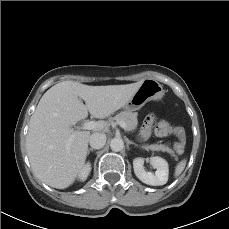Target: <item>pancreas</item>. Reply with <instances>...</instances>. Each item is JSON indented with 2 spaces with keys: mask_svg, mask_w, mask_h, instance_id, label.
<instances>
[{
  "mask_svg": "<svg viewBox=\"0 0 229 229\" xmlns=\"http://www.w3.org/2000/svg\"><path fill=\"white\" fill-rule=\"evenodd\" d=\"M111 120H114L115 122H124L126 123V131H133L136 129L138 121H137V113H133L130 111H123L117 114L115 117L111 118ZM143 148L150 149L153 151H162L167 152L175 157L174 151L169 148L168 146L164 144H151L143 146Z\"/></svg>",
  "mask_w": 229,
  "mask_h": 229,
  "instance_id": "cf45deb5",
  "label": "pancreas"
}]
</instances>
